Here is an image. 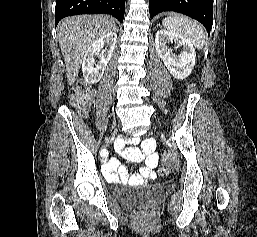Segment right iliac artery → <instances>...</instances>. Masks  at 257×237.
Returning a JSON list of instances; mask_svg holds the SVG:
<instances>
[{
    "label": "right iliac artery",
    "mask_w": 257,
    "mask_h": 237,
    "mask_svg": "<svg viewBox=\"0 0 257 237\" xmlns=\"http://www.w3.org/2000/svg\"><path fill=\"white\" fill-rule=\"evenodd\" d=\"M100 153L102 156H106V154H107L106 150H102Z\"/></svg>",
    "instance_id": "right-iliac-artery-1"
}]
</instances>
